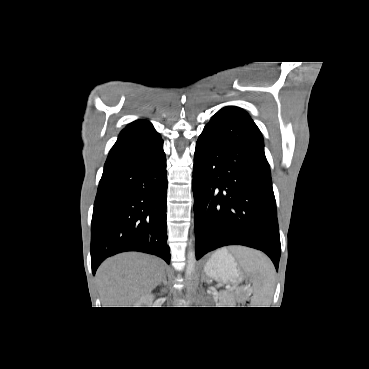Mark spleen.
<instances>
[{
    "mask_svg": "<svg viewBox=\"0 0 369 369\" xmlns=\"http://www.w3.org/2000/svg\"><path fill=\"white\" fill-rule=\"evenodd\" d=\"M237 256L241 265L253 277V307H269L274 291L275 269L272 262L261 252L256 250L239 248Z\"/></svg>",
    "mask_w": 369,
    "mask_h": 369,
    "instance_id": "spleen-1",
    "label": "spleen"
}]
</instances>
